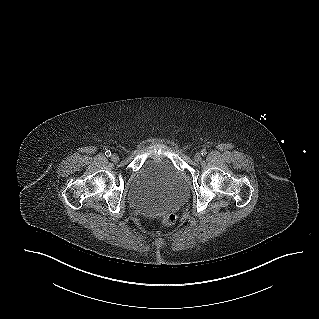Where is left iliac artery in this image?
Returning <instances> with one entry per match:
<instances>
[{
  "mask_svg": "<svg viewBox=\"0 0 319 319\" xmlns=\"http://www.w3.org/2000/svg\"><path fill=\"white\" fill-rule=\"evenodd\" d=\"M207 154V151L205 150V149H203L202 151H201V155H206Z\"/></svg>",
  "mask_w": 319,
  "mask_h": 319,
  "instance_id": "left-iliac-artery-1",
  "label": "left iliac artery"
}]
</instances>
